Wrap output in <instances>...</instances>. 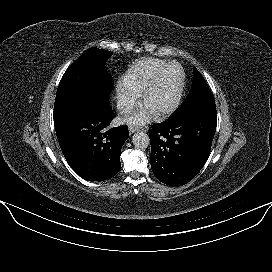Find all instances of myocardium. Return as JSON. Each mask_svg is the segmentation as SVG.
<instances>
[{
	"label": "myocardium",
	"mask_w": 272,
	"mask_h": 272,
	"mask_svg": "<svg viewBox=\"0 0 272 272\" xmlns=\"http://www.w3.org/2000/svg\"><path fill=\"white\" fill-rule=\"evenodd\" d=\"M176 66L179 68L180 73H181V79L178 85V89H177V93L175 96L174 101L172 102L171 105H169L168 107L158 111L157 113H155V115L159 118H163L166 117L170 114H172L174 111L177 110V108L180 106L182 98H183V93H184V89H185V84H186V74L185 71L183 69V67L177 63V62H169L167 63L155 76V78L146 86V88L142 91L141 94V101L142 103L145 104L146 100L148 99V97L151 95V93L157 88V86L160 84L163 76L165 75V73L168 71L169 68Z\"/></svg>",
	"instance_id": "obj_1"
}]
</instances>
